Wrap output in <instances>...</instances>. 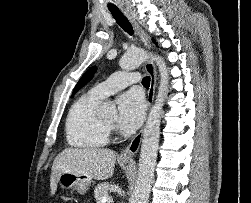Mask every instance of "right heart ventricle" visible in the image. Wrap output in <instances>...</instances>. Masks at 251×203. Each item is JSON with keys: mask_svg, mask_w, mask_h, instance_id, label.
I'll use <instances>...</instances> for the list:
<instances>
[{"mask_svg": "<svg viewBox=\"0 0 251 203\" xmlns=\"http://www.w3.org/2000/svg\"><path fill=\"white\" fill-rule=\"evenodd\" d=\"M100 102V99L87 93L70 108L66 120V135L71 146L96 149L107 145L109 129L97 114Z\"/></svg>", "mask_w": 251, "mask_h": 203, "instance_id": "1", "label": "right heart ventricle"}]
</instances>
